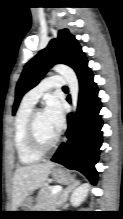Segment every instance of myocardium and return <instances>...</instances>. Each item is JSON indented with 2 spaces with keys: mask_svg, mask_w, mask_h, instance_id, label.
<instances>
[{
  "mask_svg": "<svg viewBox=\"0 0 123 219\" xmlns=\"http://www.w3.org/2000/svg\"><path fill=\"white\" fill-rule=\"evenodd\" d=\"M39 112L40 110H33L31 112L29 120H28L27 133H28V141H29V145L31 149L39 155H44L50 152L51 150H53L57 146L60 140V135L57 134L54 140L47 145L43 144L39 140V137L36 131V116Z\"/></svg>",
  "mask_w": 123,
  "mask_h": 219,
  "instance_id": "f54148a6",
  "label": "myocardium"
}]
</instances>
